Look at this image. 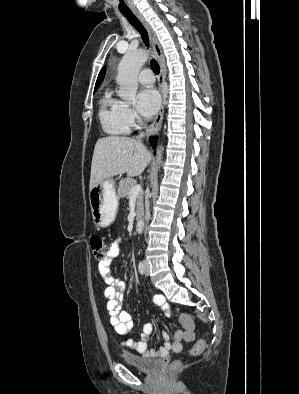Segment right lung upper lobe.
Returning a JSON list of instances; mask_svg holds the SVG:
<instances>
[{
    "label": "right lung upper lobe",
    "instance_id": "right-lung-upper-lobe-1",
    "mask_svg": "<svg viewBox=\"0 0 299 394\" xmlns=\"http://www.w3.org/2000/svg\"><path fill=\"white\" fill-rule=\"evenodd\" d=\"M104 75H105V68H103V69L100 71V73H99V76H98L97 81H96V84H95V89H94V91H96V90L99 88V86H100V84H101V82H102V80H103V78H104Z\"/></svg>",
    "mask_w": 299,
    "mask_h": 394
}]
</instances>
